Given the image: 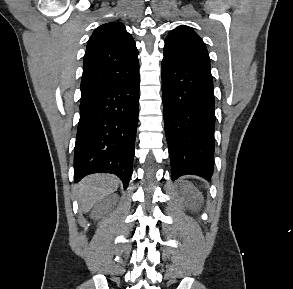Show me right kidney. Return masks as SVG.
I'll use <instances>...</instances> for the list:
<instances>
[{"instance_id": "ca27d5eb", "label": "right kidney", "mask_w": 293, "mask_h": 289, "mask_svg": "<svg viewBox=\"0 0 293 289\" xmlns=\"http://www.w3.org/2000/svg\"><path fill=\"white\" fill-rule=\"evenodd\" d=\"M99 208H96L95 211H93L92 216H95L96 213L98 212Z\"/></svg>"}]
</instances>
